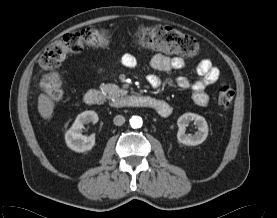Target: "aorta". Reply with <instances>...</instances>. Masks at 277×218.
<instances>
[{"label": "aorta", "mask_w": 277, "mask_h": 218, "mask_svg": "<svg viewBox=\"0 0 277 218\" xmlns=\"http://www.w3.org/2000/svg\"><path fill=\"white\" fill-rule=\"evenodd\" d=\"M143 124V120L140 116H132L130 118V125L132 128H140Z\"/></svg>", "instance_id": "obj_1"}]
</instances>
